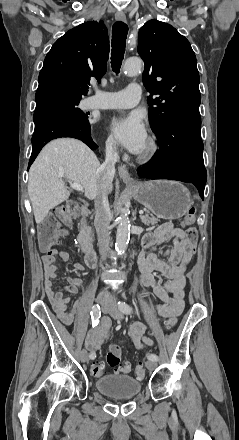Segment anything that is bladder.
Returning a JSON list of instances; mask_svg holds the SVG:
<instances>
[{
  "instance_id": "obj_1",
  "label": "bladder",
  "mask_w": 239,
  "mask_h": 440,
  "mask_svg": "<svg viewBox=\"0 0 239 440\" xmlns=\"http://www.w3.org/2000/svg\"><path fill=\"white\" fill-rule=\"evenodd\" d=\"M95 388L101 394L116 398H131L141 392V382L129 375H109L95 380Z\"/></svg>"
}]
</instances>
